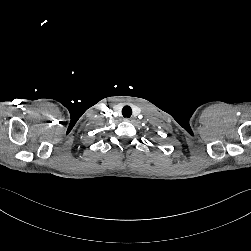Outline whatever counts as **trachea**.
<instances>
[{
    "label": "trachea",
    "instance_id": "3493384b",
    "mask_svg": "<svg viewBox=\"0 0 251 251\" xmlns=\"http://www.w3.org/2000/svg\"><path fill=\"white\" fill-rule=\"evenodd\" d=\"M122 115L126 118H129L132 115V109L129 106H125L122 109Z\"/></svg>",
    "mask_w": 251,
    "mask_h": 251
}]
</instances>
